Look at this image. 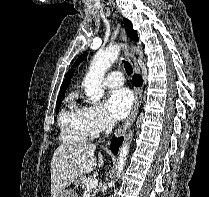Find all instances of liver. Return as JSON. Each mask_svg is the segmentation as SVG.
Instances as JSON below:
<instances>
[{"mask_svg":"<svg viewBox=\"0 0 209 197\" xmlns=\"http://www.w3.org/2000/svg\"><path fill=\"white\" fill-rule=\"evenodd\" d=\"M96 145L90 143L62 144L51 160V197H57L75 179L93 171L97 166ZM98 166L103 156L98 153Z\"/></svg>","mask_w":209,"mask_h":197,"instance_id":"obj_1","label":"liver"}]
</instances>
